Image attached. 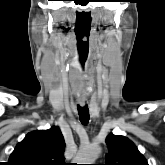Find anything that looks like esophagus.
I'll return each mask as SVG.
<instances>
[{
    "mask_svg": "<svg viewBox=\"0 0 165 165\" xmlns=\"http://www.w3.org/2000/svg\"><path fill=\"white\" fill-rule=\"evenodd\" d=\"M85 99L84 98H79L78 99V103L80 104V105H84L85 104Z\"/></svg>",
    "mask_w": 165,
    "mask_h": 165,
    "instance_id": "esophagus-1",
    "label": "esophagus"
}]
</instances>
